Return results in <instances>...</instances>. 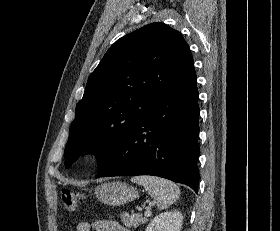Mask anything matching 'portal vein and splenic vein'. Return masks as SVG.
Here are the masks:
<instances>
[{
	"instance_id": "portal-vein-and-splenic-vein-1",
	"label": "portal vein and splenic vein",
	"mask_w": 280,
	"mask_h": 231,
	"mask_svg": "<svg viewBox=\"0 0 280 231\" xmlns=\"http://www.w3.org/2000/svg\"><path fill=\"white\" fill-rule=\"evenodd\" d=\"M144 215H151L150 209H146V211H144Z\"/></svg>"
}]
</instances>
